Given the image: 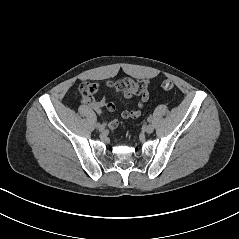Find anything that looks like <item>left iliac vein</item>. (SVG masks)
Masks as SVG:
<instances>
[{
    "label": "left iliac vein",
    "mask_w": 239,
    "mask_h": 239,
    "mask_svg": "<svg viewBox=\"0 0 239 239\" xmlns=\"http://www.w3.org/2000/svg\"><path fill=\"white\" fill-rule=\"evenodd\" d=\"M154 131V126L152 124H149L145 127V132L150 134Z\"/></svg>",
    "instance_id": "1"
}]
</instances>
